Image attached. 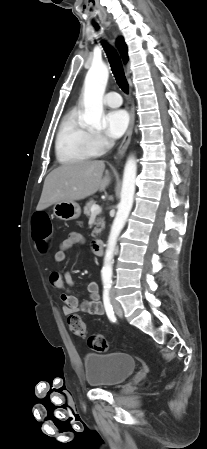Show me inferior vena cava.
<instances>
[{
  "instance_id": "602c4592",
  "label": "inferior vena cava",
  "mask_w": 207,
  "mask_h": 449,
  "mask_svg": "<svg viewBox=\"0 0 207 449\" xmlns=\"http://www.w3.org/2000/svg\"><path fill=\"white\" fill-rule=\"evenodd\" d=\"M109 145H110V146H113V145H114V141L111 140V141L109 142ZM112 291H113V290H112Z\"/></svg>"
}]
</instances>
